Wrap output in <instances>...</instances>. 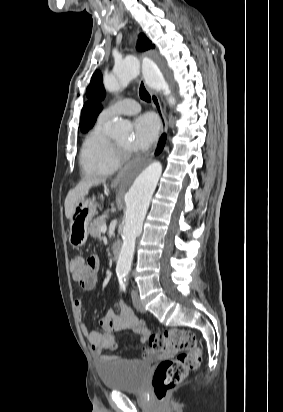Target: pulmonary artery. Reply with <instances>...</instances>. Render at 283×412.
Masks as SVG:
<instances>
[{"instance_id":"pulmonary-artery-1","label":"pulmonary artery","mask_w":283,"mask_h":412,"mask_svg":"<svg viewBox=\"0 0 283 412\" xmlns=\"http://www.w3.org/2000/svg\"><path fill=\"white\" fill-rule=\"evenodd\" d=\"M139 111L140 105L137 101L132 99H123L103 109L99 115V119L107 122L116 116H130L137 114Z\"/></svg>"}]
</instances>
